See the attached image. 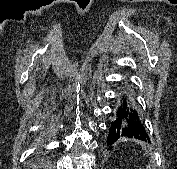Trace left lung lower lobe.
<instances>
[{"instance_id": "left-lung-lower-lobe-1", "label": "left lung lower lobe", "mask_w": 177, "mask_h": 169, "mask_svg": "<svg viewBox=\"0 0 177 169\" xmlns=\"http://www.w3.org/2000/svg\"><path fill=\"white\" fill-rule=\"evenodd\" d=\"M120 137H134L139 140H149V136L140 120L136 106L127 93L121 95L116 117L109 129L107 144H113Z\"/></svg>"}]
</instances>
